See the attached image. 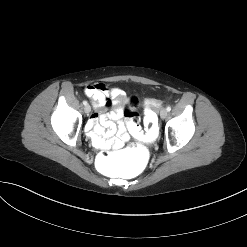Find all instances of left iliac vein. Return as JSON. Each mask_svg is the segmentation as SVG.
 Wrapping results in <instances>:
<instances>
[{"label":"left iliac vein","instance_id":"4c4485c4","mask_svg":"<svg viewBox=\"0 0 247 247\" xmlns=\"http://www.w3.org/2000/svg\"><path fill=\"white\" fill-rule=\"evenodd\" d=\"M167 115H168V111L166 110V109H162L161 111H160V117L162 118V119H165L166 117H167Z\"/></svg>","mask_w":247,"mask_h":247}]
</instances>
